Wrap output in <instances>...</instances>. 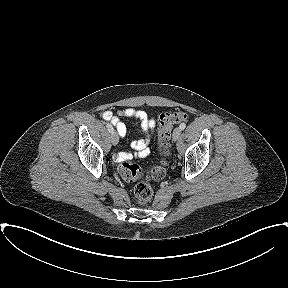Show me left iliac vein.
<instances>
[{
    "mask_svg": "<svg viewBox=\"0 0 288 288\" xmlns=\"http://www.w3.org/2000/svg\"><path fill=\"white\" fill-rule=\"evenodd\" d=\"M180 135H181V129L180 128H175L174 131H173V134H172L173 141L178 140Z\"/></svg>",
    "mask_w": 288,
    "mask_h": 288,
    "instance_id": "4c4485c4",
    "label": "left iliac vein"
}]
</instances>
